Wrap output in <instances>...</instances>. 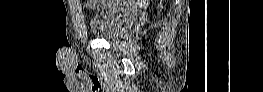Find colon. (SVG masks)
<instances>
[{
	"label": "colon",
	"mask_w": 263,
	"mask_h": 92,
	"mask_svg": "<svg viewBox=\"0 0 263 92\" xmlns=\"http://www.w3.org/2000/svg\"><path fill=\"white\" fill-rule=\"evenodd\" d=\"M100 4H104V3H112V2H119V1H99Z\"/></svg>",
	"instance_id": "1"
}]
</instances>
